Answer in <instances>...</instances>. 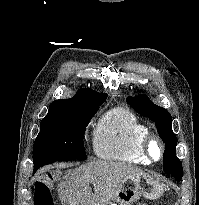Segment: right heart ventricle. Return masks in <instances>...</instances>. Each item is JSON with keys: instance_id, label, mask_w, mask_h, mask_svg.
Returning <instances> with one entry per match:
<instances>
[{"instance_id": "1", "label": "right heart ventricle", "mask_w": 199, "mask_h": 205, "mask_svg": "<svg viewBox=\"0 0 199 205\" xmlns=\"http://www.w3.org/2000/svg\"><path fill=\"white\" fill-rule=\"evenodd\" d=\"M147 126L130 110L117 107L101 116L93 136V148L100 159L136 165H148L141 154V139Z\"/></svg>"}]
</instances>
